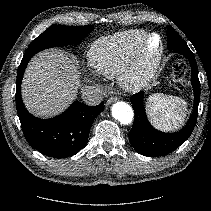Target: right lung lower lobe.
<instances>
[{
  "mask_svg": "<svg viewBox=\"0 0 211 211\" xmlns=\"http://www.w3.org/2000/svg\"><path fill=\"white\" fill-rule=\"evenodd\" d=\"M30 57H23L17 72L16 107L24 136L31 147L53 158L73 156L87 143L94 118L103 103L90 107L74 102L65 112L50 119L31 115L21 98V82Z\"/></svg>",
  "mask_w": 211,
  "mask_h": 211,
  "instance_id": "right-lung-lower-lobe-1",
  "label": "right lung lower lobe"
}]
</instances>
